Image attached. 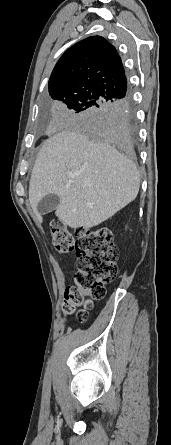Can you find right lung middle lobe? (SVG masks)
Segmentation results:
<instances>
[{"mask_svg":"<svg viewBox=\"0 0 171 445\" xmlns=\"http://www.w3.org/2000/svg\"><path fill=\"white\" fill-rule=\"evenodd\" d=\"M62 118L68 122L87 127L94 137H100L97 128V114L106 104L96 93L90 91H64L58 97Z\"/></svg>","mask_w":171,"mask_h":445,"instance_id":"dd1d6c3e","label":"right lung middle lobe"}]
</instances>
